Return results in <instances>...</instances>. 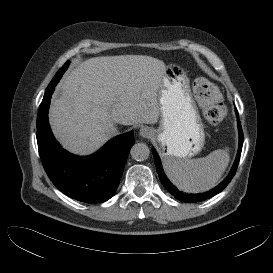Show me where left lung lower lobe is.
Segmentation results:
<instances>
[{
	"label": "left lung lower lobe",
	"instance_id": "obj_1",
	"mask_svg": "<svg viewBox=\"0 0 273 273\" xmlns=\"http://www.w3.org/2000/svg\"><path fill=\"white\" fill-rule=\"evenodd\" d=\"M236 115L239 118L237 109H236ZM238 129H239V149H238V153H237L235 162L233 164V167H232L229 175L227 176V178L222 183H220L218 186H216L212 190H210L208 192H205V193L186 194V193L180 192L177 188H175L170 183V181L167 179V177L165 176V174L163 172V169H162V166H161L159 156L157 155V153L153 149L156 170H157L158 176L160 178V181L162 182V184L166 188V190L170 194H172L176 199H178L180 201H183V202L204 201L206 199H209V198L213 197L214 195L218 194L219 192H221L229 184V182L231 181V179L235 175L236 169H237V166H238V163H239V159H240V154H241V149H242V144H243V132H242V128H241V124H240L239 119H238Z\"/></svg>",
	"mask_w": 273,
	"mask_h": 273
}]
</instances>
